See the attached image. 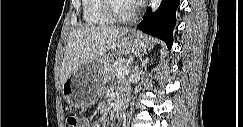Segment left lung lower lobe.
<instances>
[{
  "label": "left lung lower lobe",
  "mask_w": 243,
  "mask_h": 127,
  "mask_svg": "<svg viewBox=\"0 0 243 127\" xmlns=\"http://www.w3.org/2000/svg\"><path fill=\"white\" fill-rule=\"evenodd\" d=\"M179 3V0H162L155 13H152L151 9L148 8L137 28L146 34L163 40L170 49L173 44V28L176 25L175 13Z\"/></svg>",
  "instance_id": "0a47b994"
}]
</instances>
